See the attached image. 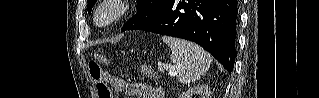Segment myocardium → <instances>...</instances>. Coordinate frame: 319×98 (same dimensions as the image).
I'll list each match as a JSON object with an SVG mask.
<instances>
[{
    "label": "myocardium",
    "instance_id": "obj_1",
    "mask_svg": "<svg viewBox=\"0 0 319 98\" xmlns=\"http://www.w3.org/2000/svg\"><path fill=\"white\" fill-rule=\"evenodd\" d=\"M130 2L125 0H106L102 1L94 11V21L97 25L102 27L111 26L122 18H124L130 11ZM110 10L111 14L103 19L102 12Z\"/></svg>",
    "mask_w": 319,
    "mask_h": 98
}]
</instances>
